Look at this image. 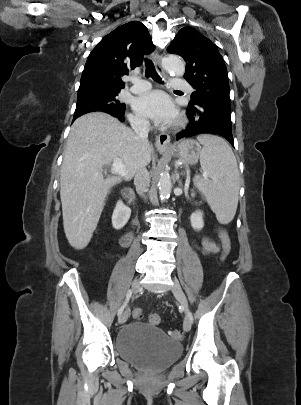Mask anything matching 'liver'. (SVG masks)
I'll use <instances>...</instances> for the list:
<instances>
[{"mask_svg":"<svg viewBox=\"0 0 301 405\" xmlns=\"http://www.w3.org/2000/svg\"><path fill=\"white\" fill-rule=\"evenodd\" d=\"M153 147L118 119L102 112L83 115L71 126L60 175L63 226L70 245L90 242L111 188L131 179L151 161ZM119 158L126 175L104 177L103 166Z\"/></svg>","mask_w":301,"mask_h":405,"instance_id":"liver-1","label":"liver"}]
</instances>
